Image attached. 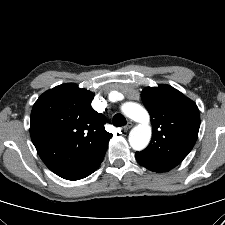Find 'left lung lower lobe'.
I'll return each instance as SVG.
<instances>
[{
	"instance_id": "left-lung-lower-lobe-1",
	"label": "left lung lower lobe",
	"mask_w": 225,
	"mask_h": 225,
	"mask_svg": "<svg viewBox=\"0 0 225 225\" xmlns=\"http://www.w3.org/2000/svg\"><path fill=\"white\" fill-rule=\"evenodd\" d=\"M135 156H136L137 161H138L142 166H144L145 168H147V169H149V170H151V171L158 172V173H162V172H167V171L169 170V169H167V168H163V167H161V166H159V165H156V164L150 162V161L147 160V159H144L143 157H141V156L138 155L137 153H136Z\"/></svg>"
}]
</instances>
